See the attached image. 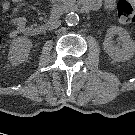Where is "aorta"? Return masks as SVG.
<instances>
[{
    "label": "aorta",
    "instance_id": "obj_1",
    "mask_svg": "<svg viewBox=\"0 0 135 135\" xmlns=\"http://www.w3.org/2000/svg\"><path fill=\"white\" fill-rule=\"evenodd\" d=\"M65 21L67 25L75 26L79 22V16L77 13H74V12L68 13L65 17Z\"/></svg>",
    "mask_w": 135,
    "mask_h": 135
}]
</instances>
